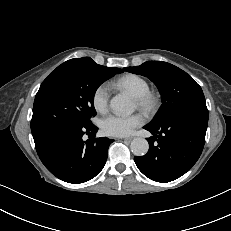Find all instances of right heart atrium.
<instances>
[{"mask_svg": "<svg viewBox=\"0 0 231 231\" xmlns=\"http://www.w3.org/2000/svg\"><path fill=\"white\" fill-rule=\"evenodd\" d=\"M110 92L105 84H101L93 92L92 104L94 109L99 113H104L108 109Z\"/></svg>", "mask_w": 231, "mask_h": 231, "instance_id": "1", "label": "right heart atrium"}]
</instances>
